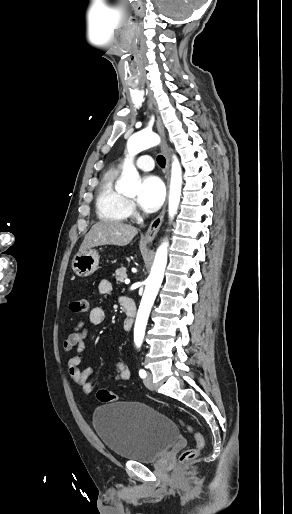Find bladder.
I'll return each instance as SVG.
<instances>
[{"mask_svg": "<svg viewBox=\"0 0 292 514\" xmlns=\"http://www.w3.org/2000/svg\"><path fill=\"white\" fill-rule=\"evenodd\" d=\"M94 429L115 456L135 462H152L178 439L174 421L139 402L98 407L92 416Z\"/></svg>", "mask_w": 292, "mask_h": 514, "instance_id": "obj_1", "label": "bladder"}]
</instances>
